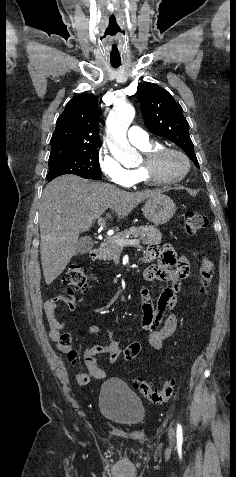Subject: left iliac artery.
I'll return each mask as SVG.
<instances>
[{"instance_id": "obj_1", "label": "left iliac artery", "mask_w": 236, "mask_h": 477, "mask_svg": "<svg viewBox=\"0 0 236 477\" xmlns=\"http://www.w3.org/2000/svg\"><path fill=\"white\" fill-rule=\"evenodd\" d=\"M177 442L180 444L183 442V430L180 424L177 425Z\"/></svg>"}]
</instances>
